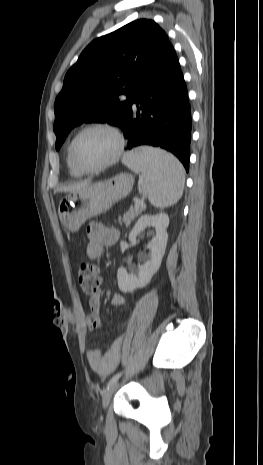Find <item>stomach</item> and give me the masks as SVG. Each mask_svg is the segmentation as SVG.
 Wrapping results in <instances>:
<instances>
[{
  "mask_svg": "<svg viewBox=\"0 0 263 465\" xmlns=\"http://www.w3.org/2000/svg\"><path fill=\"white\" fill-rule=\"evenodd\" d=\"M133 183L131 175L120 173L107 181L70 192L59 203L58 214L62 224L69 231H77L86 220L106 212L128 196Z\"/></svg>",
  "mask_w": 263,
  "mask_h": 465,
  "instance_id": "1",
  "label": "stomach"
}]
</instances>
